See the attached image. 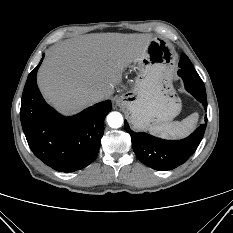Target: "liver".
<instances>
[{
  "label": "liver",
  "mask_w": 233,
  "mask_h": 233,
  "mask_svg": "<svg viewBox=\"0 0 233 233\" xmlns=\"http://www.w3.org/2000/svg\"><path fill=\"white\" fill-rule=\"evenodd\" d=\"M150 34L100 33L68 39L47 52L37 83L49 104L63 114L93 105V94L107 98L122 82L126 67L139 60Z\"/></svg>",
  "instance_id": "1"
}]
</instances>
